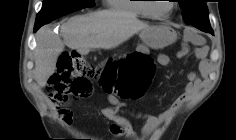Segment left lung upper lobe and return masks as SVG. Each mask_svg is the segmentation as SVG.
I'll list each match as a JSON object with an SVG mask.
<instances>
[{
    "instance_id": "1",
    "label": "left lung upper lobe",
    "mask_w": 236,
    "mask_h": 140,
    "mask_svg": "<svg viewBox=\"0 0 236 140\" xmlns=\"http://www.w3.org/2000/svg\"><path fill=\"white\" fill-rule=\"evenodd\" d=\"M182 9L184 22L204 32L213 34L209 22L206 0H177Z\"/></svg>"
}]
</instances>
